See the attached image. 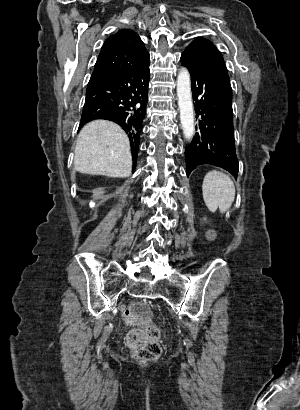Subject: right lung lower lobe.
I'll return each instance as SVG.
<instances>
[{"mask_svg":"<svg viewBox=\"0 0 300 410\" xmlns=\"http://www.w3.org/2000/svg\"><path fill=\"white\" fill-rule=\"evenodd\" d=\"M149 75L148 63L89 81L80 122V127L95 119H107L119 124L130 139L134 166L137 156L134 159L133 153L134 149L139 148L146 114Z\"/></svg>","mask_w":300,"mask_h":410,"instance_id":"1","label":"right lung lower lobe"}]
</instances>
